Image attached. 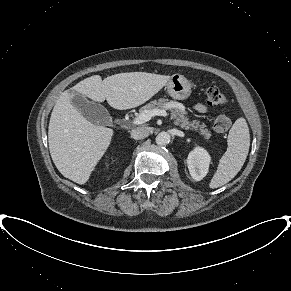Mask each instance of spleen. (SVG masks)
I'll list each match as a JSON object with an SVG mask.
<instances>
[{
	"label": "spleen",
	"instance_id": "obj_1",
	"mask_svg": "<svg viewBox=\"0 0 291 291\" xmlns=\"http://www.w3.org/2000/svg\"><path fill=\"white\" fill-rule=\"evenodd\" d=\"M227 150L221 157L209 187L214 189L232 180L241 170L250 146L249 128L244 118H238L231 127Z\"/></svg>",
	"mask_w": 291,
	"mask_h": 291
}]
</instances>
